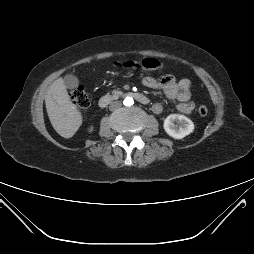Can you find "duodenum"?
Instances as JSON below:
<instances>
[{
    "instance_id": "duodenum-1",
    "label": "duodenum",
    "mask_w": 254,
    "mask_h": 254,
    "mask_svg": "<svg viewBox=\"0 0 254 254\" xmlns=\"http://www.w3.org/2000/svg\"><path fill=\"white\" fill-rule=\"evenodd\" d=\"M126 96H131L134 99H136L138 102L141 104H148L149 99L147 96L140 92H124L121 94H105L99 99V106L101 108L107 107L112 101L120 98V97H126Z\"/></svg>"
}]
</instances>
